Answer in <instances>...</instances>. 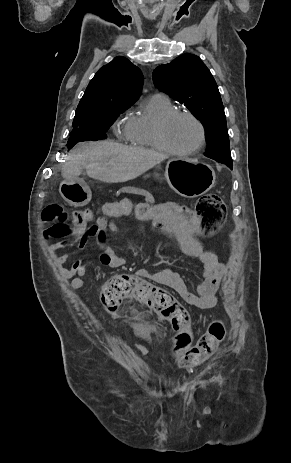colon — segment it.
<instances>
[{"mask_svg": "<svg viewBox=\"0 0 291 463\" xmlns=\"http://www.w3.org/2000/svg\"><path fill=\"white\" fill-rule=\"evenodd\" d=\"M122 206L108 207L110 217H119ZM134 210L139 217L155 226H178L181 230L200 231L210 234L216 231L224 221L225 205L214 193L199 198L194 207H186L175 201L138 204ZM123 217L130 215L128 208L121 210ZM93 213L89 210L68 212L61 204L47 205L42 211V220L51 223L43 231L47 242L59 239L66 245L67 238L78 237L87 231V225ZM124 299H135L138 302L161 312L168 317L177 332L172 354L179 366L196 367L210 357L221 343L225 329L221 322L214 321L196 344L191 343V318L188 312L166 290L149 281L128 274H120L109 278L102 289L101 300L106 309L115 312Z\"/></svg>", "mask_w": 291, "mask_h": 463, "instance_id": "5ec220e1", "label": "colon"}]
</instances>
